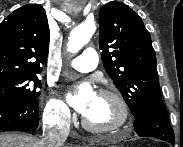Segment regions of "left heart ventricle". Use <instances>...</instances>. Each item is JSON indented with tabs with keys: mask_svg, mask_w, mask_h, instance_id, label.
<instances>
[{
	"mask_svg": "<svg viewBox=\"0 0 183 147\" xmlns=\"http://www.w3.org/2000/svg\"><path fill=\"white\" fill-rule=\"evenodd\" d=\"M84 116L95 126L107 127L120 120V110L111 98L97 94Z\"/></svg>",
	"mask_w": 183,
	"mask_h": 147,
	"instance_id": "obj_1",
	"label": "left heart ventricle"
}]
</instances>
